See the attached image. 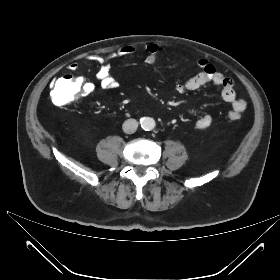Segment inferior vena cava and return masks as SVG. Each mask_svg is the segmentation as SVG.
<instances>
[{
    "mask_svg": "<svg viewBox=\"0 0 280 280\" xmlns=\"http://www.w3.org/2000/svg\"><path fill=\"white\" fill-rule=\"evenodd\" d=\"M123 131L127 134H133L138 128V121L135 119H128L123 123Z\"/></svg>",
    "mask_w": 280,
    "mask_h": 280,
    "instance_id": "obj_1",
    "label": "inferior vena cava"
}]
</instances>
